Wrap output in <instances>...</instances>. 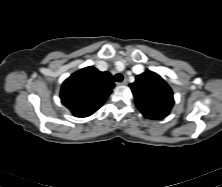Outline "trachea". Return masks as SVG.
Masks as SVG:
<instances>
[{
    "instance_id": "obj_1",
    "label": "trachea",
    "mask_w": 222,
    "mask_h": 187,
    "mask_svg": "<svg viewBox=\"0 0 222 187\" xmlns=\"http://www.w3.org/2000/svg\"><path fill=\"white\" fill-rule=\"evenodd\" d=\"M114 81H116V82H121V81H123V75L120 74V73L116 74V75L114 76Z\"/></svg>"
}]
</instances>
